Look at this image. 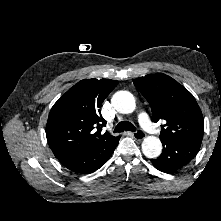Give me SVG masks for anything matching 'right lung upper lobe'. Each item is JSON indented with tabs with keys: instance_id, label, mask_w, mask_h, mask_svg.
Returning <instances> with one entry per match:
<instances>
[{
	"instance_id": "right-lung-upper-lobe-1",
	"label": "right lung upper lobe",
	"mask_w": 221,
	"mask_h": 221,
	"mask_svg": "<svg viewBox=\"0 0 221 221\" xmlns=\"http://www.w3.org/2000/svg\"><path fill=\"white\" fill-rule=\"evenodd\" d=\"M110 79H85L70 88L52 107L47 125L48 144L58 160L107 146L120 137L102 134L100 115L105 98L117 86Z\"/></svg>"
}]
</instances>
